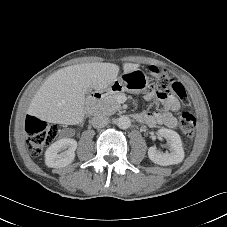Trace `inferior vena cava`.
Instances as JSON below:
<instances>
[{
	"label": "inferior vena cava",
	"instance_id": "inferior-vena-cava-1",
	"mask_svg": "<svg viewBox=\"0 0 227 227\" xmlns=\"http://www.w3.org/2000/svg\"><path fill=\"white\" fill-rule=\"evenodd\" d=\"M109 123L108 117L103 114H98L94 116L91 120V124L94 128H103Z\"/></svg>",
	"mask_w": 227,
	"mask_h": 227
}]
</instances>
